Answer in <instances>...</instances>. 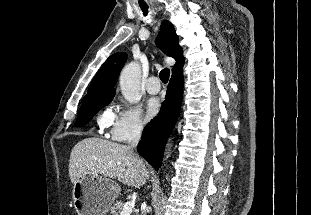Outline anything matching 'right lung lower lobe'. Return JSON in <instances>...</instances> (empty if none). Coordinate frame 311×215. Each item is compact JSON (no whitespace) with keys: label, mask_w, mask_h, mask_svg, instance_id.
<instances>
[{"label":"right lung lower lobe","mask_w":311,"mask_h":215,"mask_svg":"<svg viewBox=\"0 0 311 215\" xmlns=\"http://www.w3.org/2000/svg\"><path fill=\"white\" fill-rule=\"evenodd\" d=\"M183 81L182 69L172 74L160 112L146 125L138 144L140 155L155 168L161 167L165 143L179 116Z\"/></svg>","instance_id":"1"}]
</instances>
